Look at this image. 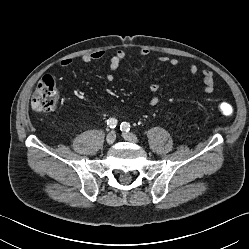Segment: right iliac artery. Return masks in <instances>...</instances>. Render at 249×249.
<instances>
[{"label": "right iliac artery", "instance_id": "1", "mask_svg": "<svg viewBox=\"0 0 249 249\" xmlns=\"http://www.w3.org/2000/svg\"><path fill=\"white\" fill-rule=\"evenodd\" d=\"M107 125H108L110 128L114 129V128L117 126V120H116L115 118H109V119L107 120Z\"/></svg>", "mask_w": 249, "mask_h": 249}]
</instances>
